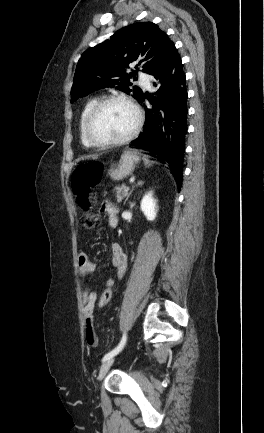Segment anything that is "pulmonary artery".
Returning a JSON list of instances; mask_svg holds the SVG:
<instances>
[{
  "label": "pulmonary artery",
  "instance_id": "e3ab8cb5",
  "mask_svg": "<svg viewBox=\"0 0 264 433\" xmlns=\"http://www.w3.org/2000/svg\"><path fill=\"white\" fill-rule=\"evenodd\" d=\"M141 83L144 87L150 88V82L146 79H143V76H141Z\"/></svg>",
  "mask_w": 264,
  "mask_h": 433
}]
</instances>
